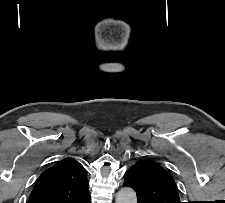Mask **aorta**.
<instances>
[{"label": "aorta", "mask_w": 225, "mask_h": 203, "mask_svg": "<svg viewBox=\"0 0 225 203\" xmlns=\"http://www.w3.org/2000/svg\"><path fill=\"white\" fill-rule=\"evenodd\" d=\"M115 203H137V196L133 189L122 188L116 195Z\"/></svg>", "instance_id": "aorta-1"}]
</instances>
